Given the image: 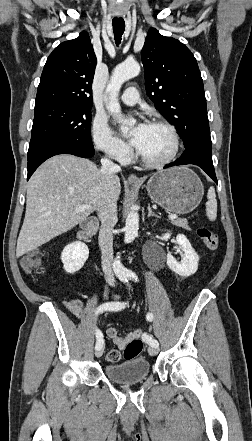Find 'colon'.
Returning a JSON list of instances; mask_svg holds the SVG:
<instances>
[{
    "label": "colon",
    "mask_w": 252,
    "mask_h": 441,
    "mask_svg": "<svg viewBox=\"0 0 252 441\" xmlns=\"http://www.w3.org/2000/svg\"><path fill=\"white\" fill-rule=\"evenodd\" d=\"M197 235L206 246V248L211 251L218 249L219 239L213 230L207 227H199L197 229ZM21 266L28 273L36 272L40 266V259L37 252L32 251L28 255L24 256L21 259ZM142 349V341L139 338L134 339L127 344L122 353L117 349L110 350L107 353V360L111 363H117L121 360L122 357H124L125 359H131L138 356Z\"/></svg>",
    "instance_id": "colon-1"
}]
</instances>
